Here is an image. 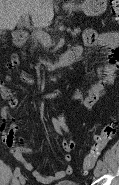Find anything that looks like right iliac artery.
<instances>
[{
    "label": "right iliac artery",
    "instance_id": "obj_1",
    "mask_svg": "<svg viewBox=\"0 0 119 185\" xmlns=\"http://www.w3.org/2000/svg\"><path fill=\"white\" fill-rule=\"evenodd\" d=\"M46 97H50V95H47ZM14 174H15V176H19L20 175V168L19 167H17L15 169Z\"/></svg>",
    "mask_w": 119,
    "mask_h": 185
}]
</instances>
